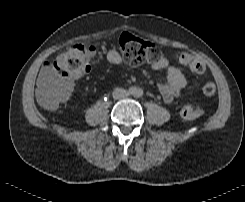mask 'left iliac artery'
Instances as JSON below:
<instances>
[{"label":"left iliac artery","instance_id":"1","mask_svg":"<svg viewBox=\"0 0 245 202\" xmlns=\"http://www.w3.org/2000/svg\"><path fill=\"white\" fill-rule=\"evenodd\" d=\"M143 95V91L141 89L137 90L136 96L141 97Z\"/></svg>","mask_w":245,"mask_h":202}]
</instances>
